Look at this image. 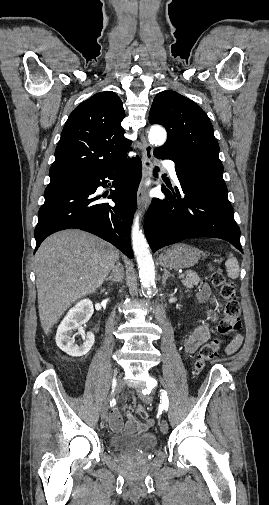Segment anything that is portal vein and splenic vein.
<instances>
[{"label":"portal vein and splenic vein","mask_w":269,"mask_h":505,"mask_svg":"<svg viewBox=\"0 0 269 505\" xmlns=\"http://www.w3.org/2000/svg\"><path fill=\"white\" fill-rule=\"evenodd\" d=\"M183 277H184V275H183V274L179 275V278H183Z\"/></svg>","instance_id":"1"}]
</instances>
